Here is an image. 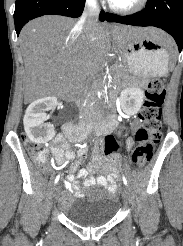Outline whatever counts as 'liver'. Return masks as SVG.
Returning <instances> with one entry per match:
<instances>
[{
    "instance_id": "liver-1",
    "label": "liver",
    "mask_w": 183,
    "mask_h": 246,
    "mask_svg": "<svg viewBox=\"0 0 183 246\" xmlns=\"http://www.w3.org/2000/svg\"><path fill=\"white\" fill-rule=\"evenodd\" d=\"M150 36L166 45L172 39L155 28L115 27V51L128 39ZM24 59L26 102L46 96L68 95L91 69L98 67L111 48L107 30L97 23L87 34L77 20L45 15L27 23L19 36Z\"/></svg>"
}]
</instances>
